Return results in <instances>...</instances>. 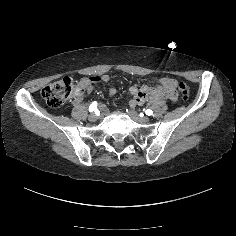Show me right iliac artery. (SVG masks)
<instances>
[{"instance_id":"82829eb1","label":"right iliac artery","mask_w":236,"mask_h":236,"mask_svg":"<svg viewBox=\"0 0 236 236\" xmlns=\"http://www.w3.org/2000/svg\"><path fill=\"white\" fill-rule=\"evenodd\" d=\"M95 110H97V102L96 101L92 102V104L89 106L90 112H93Z\"/></svg>"}]
</instances>
